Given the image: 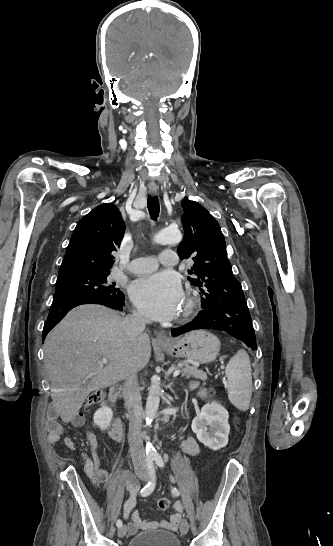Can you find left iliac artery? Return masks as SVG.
Segmentation results:
<instances>
[{"label": "left iliac artery", "mask_w": 333, "mask_h": 546, "mask_svg": "<svg viewBox=\"0 0 333 546\" xmlns=\"http://www.w3.org/2000/svg\"><path fill=\"white\" fill-rule=\"evenodd\" d=\"M153 459L155 460L156 464L159 466V467H164V461H163V458L161 457L160 454L156 453L153 455ZM172 494L174 496H179L180 495V492L177 488H172Z\"/></svg>", "instance_id": "left-iliac-artery-1"}]
</instances>
